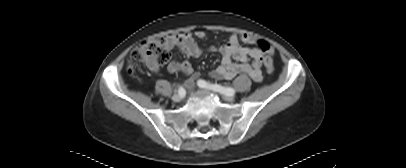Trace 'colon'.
I'll use <instances>...</instances> for the list:
<instances>
[{"label": "colon", "instance_id": "colon-1", "mask_svg": "<svg viewBox=\"0 0 406 168\" xmlns=\"http://www.w3.org/2000/svg\"><path fill=\"white\" fill-rule=\"evenodd\" d=\"M257 44L263 53V63L268 73L274 72V63L270 57V46L267 42L259 40ZM170 58V52L163 37L155 36L142 41L134 47L129 56V71L133 72L137 63L148 66L163 65Z\"/></svg>", "mask_w": 406, "mask_h": 168}]
</instances>
